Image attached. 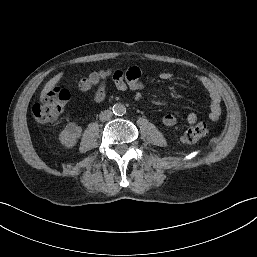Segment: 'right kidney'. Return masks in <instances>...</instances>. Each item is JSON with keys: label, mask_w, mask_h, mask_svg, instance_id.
<instances>
[{"label": "right kidney", "mask_w": 257, "mask_h": 257, "mask_svg": "<svg viewBox=\"0 0 257 257\" xmlns=\"http://www.w3.org/2000/svg\"><path fill=\"white\" fill-rule=\"evenodd\" d=\"M82 129L76 123L70 122L60 133L59 140L66 147H73L81 136Z\"/></svg>", "instance_id": "ca27d5eb"}]
</instances>
